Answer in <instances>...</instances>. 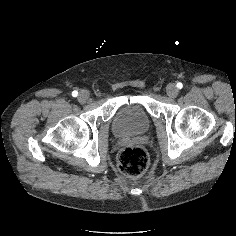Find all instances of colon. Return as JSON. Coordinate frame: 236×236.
I'll return each instance as SVG.
<instances>
[{
    "label": "colon",
    "instance_id": "colon-1",
    "mask_svg": "<svg viewBox=\"0 0 236 236\" xmlns=\"http://www.w3.org/2000/svg\"><path fill=\"white\" fill-rule=\"evenodd\" d=\"M148 165V155L139 147H126L118 155L117 168L127 177H140L146 172Z\"/></svg>",
    "mask_w": 236,
    "mask_h": 236
}]
</instances>
